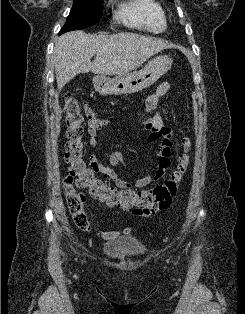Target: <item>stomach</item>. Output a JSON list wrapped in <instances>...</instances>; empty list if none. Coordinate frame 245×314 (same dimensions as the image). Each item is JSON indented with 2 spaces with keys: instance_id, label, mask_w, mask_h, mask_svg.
Here are the masks:
<instances>
[{
  "instance_id": "0dacf381",
  "label": "stomach",
  "mask_w": 245,
  "mask_h": 314,
  "mask_svg": "<svg viewBox=\"0 0 245 314\" xmlns=\"http://www.w3.org/2000/svg\"><path fill=\"white\" fill-rule=\"evenodd\" d=\"M172 59L161 55L150 61L139 71H132L114 78L99 75L93 78V85L102 95H123L137 93L154 84L172 66Z\"/></svg>"
}]
</instances>
